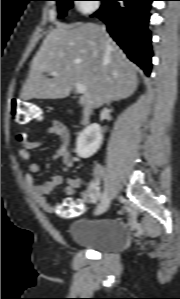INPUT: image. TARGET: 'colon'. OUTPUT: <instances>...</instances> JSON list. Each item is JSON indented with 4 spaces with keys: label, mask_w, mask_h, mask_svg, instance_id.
Wrapping results in <instances>:
<instances>
[{
    "label": "colon",
    "mask_w": 180,
    "mask_h": 299,
    "mask_svg": "<svg viewBox=\"0 0 180 299\" xmlns=\"http://www.w3.org/2000/svg\"><path fill=\"white\" fill-rule=\"evenodd\" d=\"M11 119L23 127V130L17 136V140L24 144L28 142L29 126L33 123H40L43 119V114L41 108L36 104L13 99L11 102ZM83 212L84 206L74 200H66L58 207V213L67 217H75Z\"/></svg>",
    "instance_id": "1"
}]
</instances>
